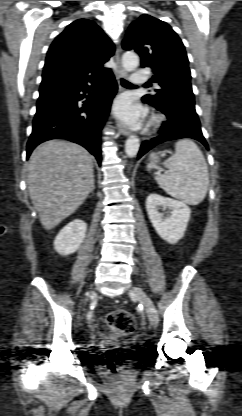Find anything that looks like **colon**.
<instances>
[{
  "label": "colon",
  "mask_w": 242,
  "mask_h": 416,
  "mask_svg": "<svg viewBox=\"0 0 242 416\" xmlns=\"http://www.w3.org/2000/svg\"><path fill=\"white\" fill-rule=\"evenodd\" d=\"M107 327L113 335L124 336L134 331L136 321L127 310L117 309L107 316Z\"/></svg>",
  "instance_id": "colon-1"
}]
</instances>
